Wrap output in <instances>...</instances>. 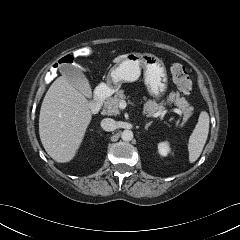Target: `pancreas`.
Instances as JSON below:
<instances>
[{
    "label": "pancreas",
    "instance_id": "cf45deb5",
    "mask_svg": "<svg viewBox=\"0 0 240 240\" xmlns=\"http://www.w3.org/2000/svg\"><path fill=\"white\" fill-rule=\"evenodd\" d=\"M124 99H126L124 90H118L113 97H108L104 101L102 113L110 116L118 115L120 113L119 103ZM168 100L170 102H174L175 105L181 109V112L183 113V121L188 120V118L192 115L193 108L190 106L189 102L186 101L184 97H180L178 93H170ZM163 110V104H158L156 101H147L143 107V114L151 117L155 113L161 112Z\"/></svg>",
    "mask_w": 240,
    "mask_h": 240
}]
</instances>
